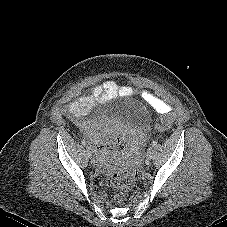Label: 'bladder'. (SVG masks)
<instances>
[{"label": "bladder", "mask_w": 227, "mask_h": 227, "mask_svg": "<svg viewBox=\"0 0 227 227\" xmlns=\"http://www.w3.org/2000/svg\"><path fill=\"white\" fill-rule=\"evenodd\" d=\"M91 119L94 123L103 122L106 120L114 122H123L143 132H148L152 127V119L149 113L129 105L128 101L107 102L98 106L91 114Z\"/></svg>", "instance_id": "1"}]
</instances>
